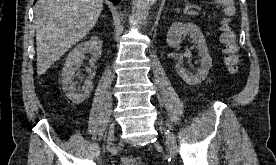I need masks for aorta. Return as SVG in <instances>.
<instances>
[{"instance_id":"aorta-1","label":"aorta","mask_w":276,"mask_h":165,"mask_svg":"<svg viewBox=\"0 0 276 165\" xmlns=\"http://www.w3.org/2000/svg\"><path fill=\"white\" fill-rule=\"evenodd\" d=\"M155 2L156 0H133L132 10L138 26L146 24L150 8Z\"/></svg>"}]
</instances>
